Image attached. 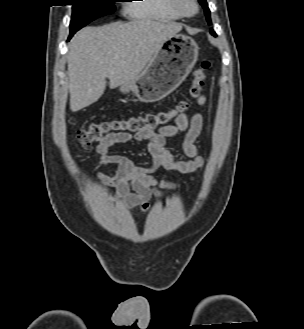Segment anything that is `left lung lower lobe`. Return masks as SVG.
<instances>
[{"label":"left lung lower lobe","instance_id":"left-lung-lower-lobe-1","mask_svg":"<svg viewBox=\"0 0 304 329\" xmlns=\"http://www.w3.org/2000/svg\"><path fill=\"white\" fill-rule=\"evenodd\" d=\"M213 35H215L214 31L211 32Z\"/></svg>","mask_w":304,"mask_h":329}]
</instances>
